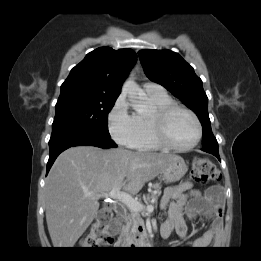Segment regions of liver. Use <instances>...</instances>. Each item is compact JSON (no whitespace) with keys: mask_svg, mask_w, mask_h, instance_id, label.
I'll return each instance as SVG.
<instances>
[{"mask_svg":"<svg viewBox=\"0 0 261 261\" xmlns=\"http://www.w3.org/2000/svg\"><path fill=\"white\" fill-rule=\"evenodd\" d=\"M176 155L76 146L54 162L45 185L48 231L55 248H72L95 218L99 195L113 188L137 194Z\"/></svg>","mask_w":261,"mask_h":261,"instance_id":"obj_1","label":"liver"}]
</instances>
